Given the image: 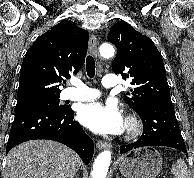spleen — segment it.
<instances>
[{"mask_svg":"<svg viewBox=\"0 0 194 178\" xmlns=\"http://www.w3.org/2000/svg\"><path fill=\"white\" fill-rule=\"evenodd\" d=\"M171 172L174 174V178H188L187 165L182 159H178L172 164Z\"/></svg>","mask_w":194,"mask_h":178,"instance_id":"spleen-1","label":"spleen"}]
</instances>
